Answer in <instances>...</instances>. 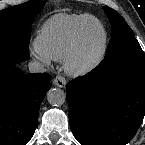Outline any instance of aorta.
<instances>
[{"instance_id":"aorta-1","label":"aorta","mask_w":145,"mask_h":145,"mask_svg":"<svg viewBox=\"0 0 145 145\" xmlns=\"http://www.w3.org/2000/svg\"><path fill=\"white\" fill-rule=\"evenodd\" d=\"M47 100L52 106H61L66 100V93L59 88L50 89L47 93Z\"/></svg>"}]
</instances>
